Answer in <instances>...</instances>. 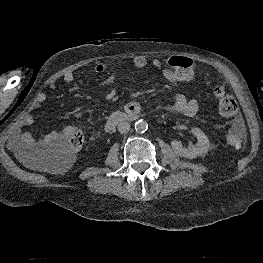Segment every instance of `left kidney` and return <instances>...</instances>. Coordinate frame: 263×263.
<instances>
[{
	"label": "left kidney",
	"mask_w": 263,
	"mask_h": 263,
	"mask_svg": "<svg viewBox=\"0 0 263 263\" xmlns=\"http://www.w3.org/2000/svg\"><path fill=\"white\" fill-rule=\"evenodd\" d=\"M189 132L197 138L195 145L189 144L187 147L181 141L174 142V148L184 157L195 158L196 156L205 153L210 147L209 140L204 132L198 127L190 128Z\"/></svg>",
	"instance_id": "obj_1"
}]
</instances>
